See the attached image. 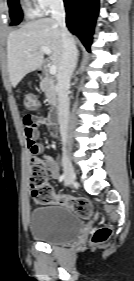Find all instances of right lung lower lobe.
<instances>
[{"instance_id": "98d812e1", "label": "right lung lower lobe", "mask_w": 134, "mask_h": 281, "mask_svg": "<svg viewBox=\"0 0 134 281\" xmlns=\"http://www.w3.org/2000/svg\"><path fill=\"white\" fill-rule=\"evenodd\" d=\"M66 23L89 50L98 14L99 0H64Z\"/></svg>"}]
</instances>
